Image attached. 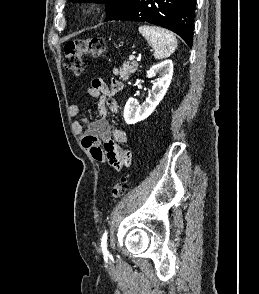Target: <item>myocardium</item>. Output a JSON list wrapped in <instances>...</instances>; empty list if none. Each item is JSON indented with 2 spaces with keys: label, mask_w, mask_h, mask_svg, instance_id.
<instances>
[{
  "label": "myocardium",
  "mask_w": 259,
  "mask_h": 294,
  "mask_svg": "<svg viewBox=\"0 0 259 294\" xmlns=\"http://www.w3.org/2000/svg\"><path fill=\"white\" fill-rule=\"evenodd\" d=\"M91 14V10L90 9H86L82 12V16L83 17H86V16H89Z\"/></svg>",
  "instance_id": "obj_1"
}]
</instances>
